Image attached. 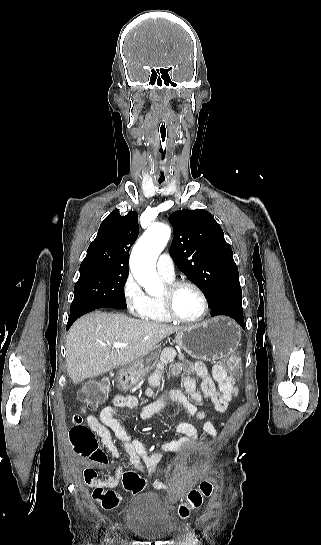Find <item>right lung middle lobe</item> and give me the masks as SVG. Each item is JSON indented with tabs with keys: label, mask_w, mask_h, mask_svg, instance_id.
Wrapping results in <instances>:
<instances>
[{
	"label": "right lung middle lobe",
	"mask_w": 321,
	"mask_h": 545,
	"mask_svg": "<svg viewBox=\"0 0 321 545\" xmlns=\"http://www.w3.org/2000/svg\"><path fill=\"white\" fill-rule=\"evenodd\" d=\"M128 274L129 270L80 269L70 312L80 308L98 309L125 303L124 285Z\"/></svg>",
	"instance_id": "right-lung-middle-lobe-1"
}]
</instances>
